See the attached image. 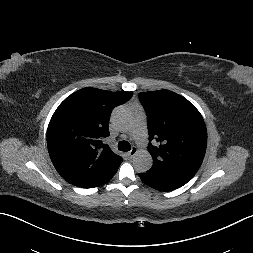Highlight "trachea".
I'll return each instance as SVG.
<instances>
[{"label": "trachea", "mask_w": 253, "mask_h": 253, "mask_svg": "<svg viewBox=\"0 0 253 253\" xmlns=\"http://www.w3.org/2000/svg\"><path fill=\"white\" fill-rule=\"evenodd\" d=\"M118 149H119L120 151H129V150H131V145H130V143L127 142V141H120V142L118 143Z\"/></svg>", "instance_id": "trachea-1"}]
</instances>
